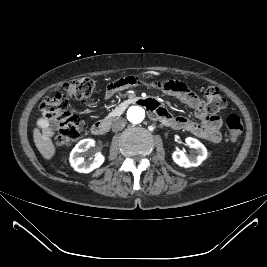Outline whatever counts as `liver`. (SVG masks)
<instances>
[{"mask_svg": "<svg viewBox=\"0 0 267 267\" xmlns=\"http://www.w3.org/2000/svg\"><path fill=\"white\" fill-rule=\"evenodd\" d=\"M40 121H38V124ZM54 131L48 127H43L42 133L38 128L33 131L34 143L40 152V154L47 160L53 158L56 152V148L52 142Z\"/></svg>", "mask_w": 267, "mask_h": 267, "instance_id": "liver-1", "label": "liver"}]
</instances>
